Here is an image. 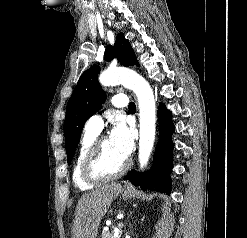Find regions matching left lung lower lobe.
Returning a JSON list of instances; mask_svg holds the SVG:
<instances>
[{
  "mask_svg": "<svg viewBox=\"0 0 247 238\" xmlns=\"http://www.w3.org/2000/svg\"><path fill=\"white\" fill-rule=\"evenodd\" d=\"M171 116V112L163 104H160L158 108L160 137L154 154L152 171L140 173L133 170L124 177V180H130L143 190L152 189L160 192L171 190L170 174L173 167L174 148L172 134L175 130Z\"/></svg>",
  "mask_w": 247,
  "mask_h": 238,
  "instance_id": "obj_1",
  "label": "left lung lower lobe"
}]
</instances>
